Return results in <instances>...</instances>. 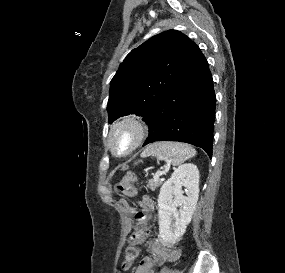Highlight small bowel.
<instances>
[{"mask_svg":"<svg viewBox=\"0 0 285 273\" xmlns=\"http://www.w3.org/2000/svg\"><path fill=\"white\" fill-rule=\"evenodd\" d=\"M140 201H144L148 205L149 212L155 209V202L152 197L143 196ZM150 253V256H146L141 260L135 268L134 273H154L156 266H160L168 260H174L178 256L179 251L162 245L159 242H153L150 245Z\"/></svg>","mask_w":285,"mask_h":273,"instance_id":"1","label":"small bowel"}]
</instances>
